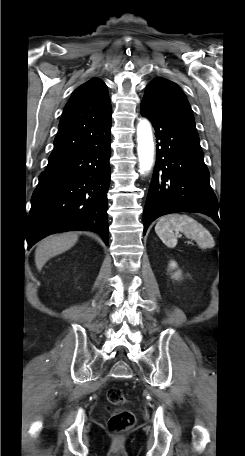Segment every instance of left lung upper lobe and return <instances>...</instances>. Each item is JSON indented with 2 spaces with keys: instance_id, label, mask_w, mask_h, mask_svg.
<instances>
[{
  "instance_id": "obj_1",
  "label": "left lung upper lobe",
  "mask_w": 245,
  "mask_h": 456,
  "mask_svg": "<svg viewBox=\"0 0 245 456\" xmlns=\"http://www.w3.org/2000/svg\"><path fill=\"white\" fill-rule=\"evenodd\" d=\"M142 103L163 115L177 118L195 127L190 104L181 88L172 81L162 77L151 81L146 86Z\"/></svg>"
}]
</instances>
